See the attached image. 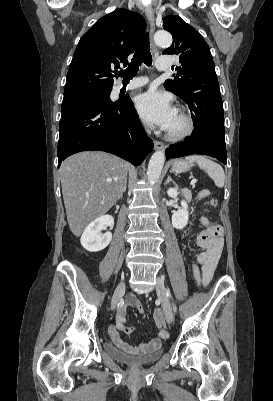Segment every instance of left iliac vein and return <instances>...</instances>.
<instances>
[{
  "label": "left iliac vein",
  "mask_w": 273,
  "mask_h": 401,
  "mask_svg": "<svg viewBox=\"0 0 273 401\" xmlns=\"http://www.w3.org/2000/svg\"><path fill=\"white\" fill-rule=\"evenodd\" d=\"M156 289H157L158 297L162 301L165 319H166L167 323L171 324L173 322V309H172L171 301L167 296V290L164 285L163 279L157 278Z\"/></svg>",
  "instance_id": "left-iliac-vein-1"
}]
</instances>
